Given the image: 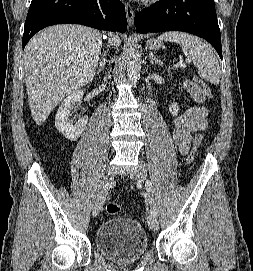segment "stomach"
Returning a JSON list of instances; mask_svg holds the SVG:
<instances>
[{"label":"stomach","mask_w":253,"mask_h":271,"mask_svg":"<svg viewBox=\"0 0 253 271\" xmlns=\"http://www.w3.org/2000/svg\"><path fill=\"white\" fill-rule=\"evenodd\" d=\"M161 45H162V44H161V41L156 40V39H149V40L147 41V47H148L149 49H152V50H156V49L160 48Z\"/></svg>","instance_id":"obj_1"}]
</instances>
